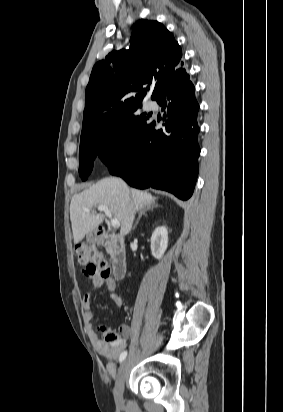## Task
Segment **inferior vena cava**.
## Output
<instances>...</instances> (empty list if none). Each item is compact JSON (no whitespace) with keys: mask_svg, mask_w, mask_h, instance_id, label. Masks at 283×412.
Masks as SVG:
<instances>
[{"mask_svg":"<svg viewBox=\"0 0 283 412\" xmlns=\"http://www.w3.org/2000/svg\"><path fill=\"white\" fill-rule=\"evenodd\" d=\"M121 182H122V185L125 187L126 186V184L121 180Z\"/></svg>","mask_w":283,"mask_h":412,"instance_id":"inferior-vena-cava-1","label":"inferior vena cava"}]
</instances>
